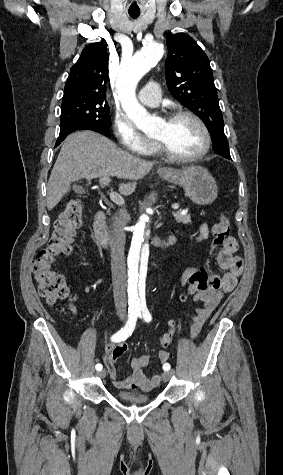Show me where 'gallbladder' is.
<instances>
[{
    "instance_id": "gallbladder-1",
    "label": "gallbladder",
    "mask_w": 283,
    "mask_h": 475,
    "mask_svg": "<svg viewBox=\"0 0 283 475\" xmlns=\"http://www.w3.org/2000/svg\"><path fill=\"white\" fill-rule=\"evenodd\" d=\"M75 192H79V194H84L85 190H82V188H78V186H73Z\"/></svg>"
}]
</instances>
